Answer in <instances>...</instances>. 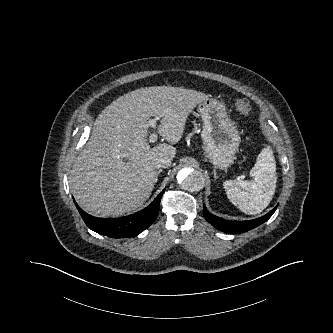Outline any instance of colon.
Wrapping results in <instances>:
<instances>
[{"label": "colon", "instance_id": "5ec220e1", "mask_svg": "<svg viewBox=\"0 0 333 333\" xmlns=\"http://www.w3.org/2000/svg\"><path fill=\"white\" fill-rule=\"evenodd\" d=\"M235 105L237 110L242 114V115H249L251 112V106L249 102L246 99H236L235 100Z\"/></svg>", "mask_w": 333, "mask_h": 333}]
</instances>
